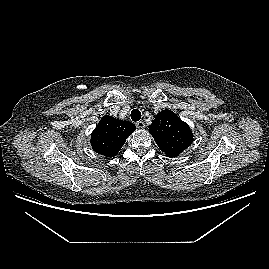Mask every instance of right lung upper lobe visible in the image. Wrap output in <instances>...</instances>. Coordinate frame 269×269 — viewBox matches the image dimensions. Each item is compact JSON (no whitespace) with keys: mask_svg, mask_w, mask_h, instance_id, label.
I'll return each mask as SVG.
<instances>
[{"mask_svg":"<svg viewBox=\"0 0 269 269\" xmlns=\"http://www.w3.org/2000/svg\"><path fill=\"white\" fill-rule=\"evenodd\" d=\"M134 131L133 123L105 115L92 132V148L98 154L114 157Z\"/></svg>","mask_w":269,"mask_h":269,"instance_id":"cb5924a9","label":"right lung upper lobe"}]
</instances>
